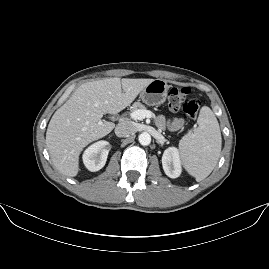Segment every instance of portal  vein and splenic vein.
<instances>
[{"label":"portal vein and splenic vein","instance_id":"portal-vein-and-splenic-vein-1","mask_svg":"<svg viewBox=\"0 0 269 269\" xmlns=\"http://www.w3.org/2000/svg\"><path fill=\"white\" fill-rule=\"evenodd\" d=\"M151 116H152V112L146 109H138L132 113V117L138 120L150 118Z\"/></svg>","mask_w":269,"mask_h":269}]
</instances>
